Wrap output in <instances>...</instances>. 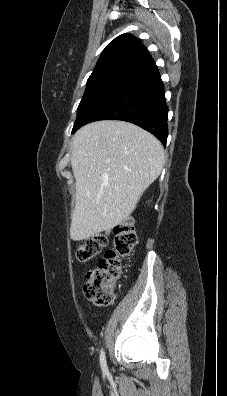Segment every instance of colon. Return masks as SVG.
Masks as SVG:
<instances>
[{
  "instance_id": "colon-1",
  "label": "colon",
  "mask_w": 227,
  "mask_h": 396,
  "mask_svg": "<svg viewBox=\"0 0 227 396\" xmlns=\"http://www.w3.org/2000/svg\"><path fill=\"white\" fill-rule=\"evenodd\" d=\"M136 242L132 220H126L114 229L113 248L86 274L84 293L90 301L103 307L113 303L114 290L122 274L121 260L132 253ZM107 244L106 234L94 235L78 246L76 257L79 261L90 260L99 255Z\"/></svg>"
}]
</instances>
